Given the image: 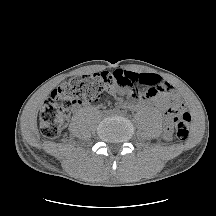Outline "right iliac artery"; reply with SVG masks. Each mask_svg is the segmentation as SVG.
Wrapping results in <instances>:
<instances>
[{
    "mask_svg": "<svg viewBox=\"0 0 216 216\" xmlns=\"http://www.w3.org/2000/svg\"><path fill=\"white\" fill-rule=\"evenodd\" d=\"M118 110L117 109H113V112H117Z\"/></svg>",
    "mask_w": 216,
    "mask_h": 216,
    "instance_id": "82829eb1",
    "label": "right iliac artery"
}]
</instances>
